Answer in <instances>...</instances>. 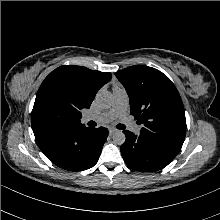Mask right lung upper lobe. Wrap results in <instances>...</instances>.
Wrapping results in <instances>:
<instances>
[{"label":"right lung upper lobe","mask_w":220,"mask_h":220,"mask_svg":"<svg viewBox=\"0 0 220 220\" xmlns=\"http://www.w3.org/2000/svg\"><path fill=\"white\" fill-rule=\"evenodd\" d=\"M108 72L64 65L42 82L32 110L35 137L84 126L81 110L89 108L97 91L111 79Z\"/></svg>","instance_id":"1"}]
</instances>
